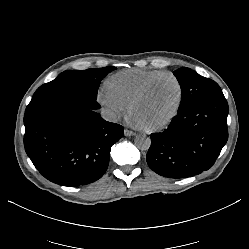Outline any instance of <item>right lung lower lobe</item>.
Here are the masks:
<instances>
[{
    "instance_id": "1",
    "label": "right lung lower lobe",
    "mask_w": 249,
    "mask_h": 249,
    "mask_svg": "<svg viewBox=\"0 0 249 249\" xmlns=\"http://www.w3.org/2000/svg\"><path fill=\"white\" fill-rule=\"evenodd\" d=\"M97 101L80 92L34 96L24 114V146L38 171L64 186L92 183L105 173L123 126L105 121Z\"/></svg>"
}]
</instances>
